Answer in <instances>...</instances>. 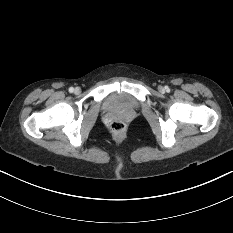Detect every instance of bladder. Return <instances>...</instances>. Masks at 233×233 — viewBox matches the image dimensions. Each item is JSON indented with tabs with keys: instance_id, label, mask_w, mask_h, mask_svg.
<instances>
[{
	"instance_id": "obj_1",
	"label": "bladder",
	"mask_w": 233,
	"mask_h": 233,
	"mask_svg": "<svg viewBox=\"0 0 233 233\" xmlns=\"http://www.w3.org/2000/svg\"><path fill=\"white\" fill-rule=\"evenodd\" d=\"M105 108L110 111H130L137 107L136 100L124 91L109 93L104 101Z\"/></svg>"
}]
</instances>
